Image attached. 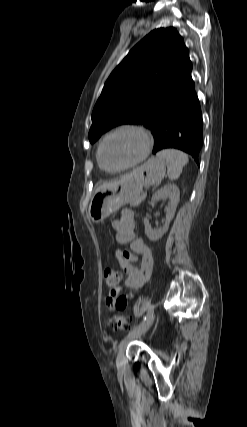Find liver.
I'll return each mask as SVG.
<instances>
[{
    "label": "liver",
    "instance_id": "obj_1",
    "mask_svg": "<svg viewBox=\"0 0 247 427\" xmlns=\"http://www.w3.org/2000/svg\"><path fill=\"white\" fill-rule=\"evenodd\" d=\"M128 176H129V174H128V175H124V176H122V177L120 178V180H118V181H114V182H110V183H104V184H102L101 186H99V187H98L97 191H98V190H100V189H102V188L112 187V186L116 185L117 183H119L120 181H122V180H124L125 178H127Z\"/></svg>",
    "mask_w": 247,
    "mask_h": 427
}]
</instances>
